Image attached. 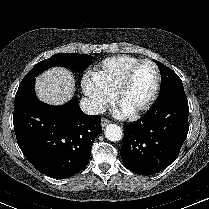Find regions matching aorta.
<instances>
[{
	"label": "aorta",
	"mask_w": 209,
	"mask_h": 209,
	"mask_svg": "<svg viewBox=\"0 0 209 209\" xmlns=\"http://www.w3.org/2000/svg\"><path fill=\"white\" fill-rule=\"evenodd\" d=\"M105 136L108 140L116 142L122 139L123 132L120 126L116 124H109L106 126Z\"/></svg>",
	"instance_id": "aorta-1"
}]
</instances>
